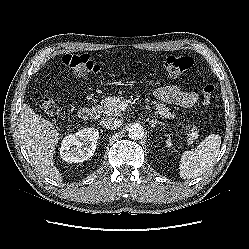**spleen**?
Here are the masks:
<instances>
[{
	"instance_id": "obj_1",
	"label": "spleen",
	"mask_w": 249,
	"mask_h": 249,
	"mask_svg": "<svg viewBox=\"0 0 249 249\" xmlns=\"http://www.w3.org/2000/svg\"><path fill=\"white\" fill-rule=\"evenodd\" d=\"M221 145V137L211 134L195 150L183 152L180 161V176L184 179L196 178L205 173L215 161Z\"/></svg>"
}]
</instances>
